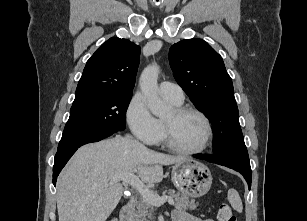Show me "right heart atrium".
<instances>
[{
	"label": "right heart atrium",
	"mask_w": 307,
	"mask_h": 221,
	"mask_svg": "<svg viewBox=\"0 0 307 221\" xmlns=\"http://www.w3.org/2000/svg\"><path fill=\"white\" fill-rule=\"evenodd\" d=\"M126 121L133 134L143 143L156 144L160 137L158 120L150 112L141 93L130 99L126 108Z\"/></svg>",
	"instance_id": "obj_1"
}]
</instances>
